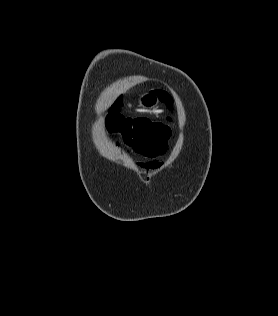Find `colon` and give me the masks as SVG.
<instances>
[{
  "instance_id": "5ec220e1",
  "label": "colon",
  "mask_w": 278,
  "mask_h": 316,
  "mask_svg": "<svg viewBox=\"0 0 278 316\" xmlns=\"http://www.w3.org/2000/svg\"><path fill=\"white\" fill-rule=\"evenodd\" d=\"M107 123L110 132L120 134L128 147L144 156H162L168 149L171 132L162 123L120 113L110 114Z\"/></svg>"
}]
</instances>
